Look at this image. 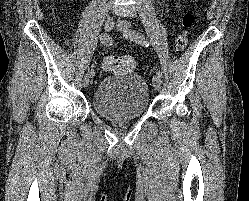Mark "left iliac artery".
<instances>
[{"instance_id":"left-iliac-artery-1","label":"left iliac artery","mask_w":249,"mask_h":201,"mask_svg":"<svg viewBox=\"0 0 249 201\" xmlns=\"http://www.w3.org/2000/svg\"><path fill=\"white\" fill-rule=\"evenodd\" d=\"M131 35H132V37L134 38V40H135L137 43H139V44H141V45H143V46H146V47L149 46L148 40H147L142 34L136 32V31H133V32L131 33ZM156 75L159 76V77L161 78V77H162V72H161L160 70H158V71L156 72Z\"/></svg>"}]
</instances>
